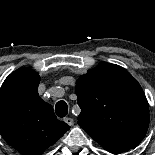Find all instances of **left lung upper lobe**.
<instances>
[{"label":"left lung upper lobe","mask_w":155,"mask_h":155,"mask_svg":"<svg viewBox=\"0 0 155 155\" xmlns=\"http://www.w3.org/2000/svg\"><path fill=\"white\" fill-rule=\"evenodd\" d=\"M78 124L105 149L137 143L149 126V107L139 83L123 67L102 62L76 82Z\"/></svg>","instance_id":"5c2ea615"}]
</instances>
